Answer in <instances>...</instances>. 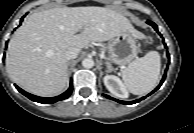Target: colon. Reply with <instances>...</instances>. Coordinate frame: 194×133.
Segmentation results:
<instances>
[{"mask_svg": "<svg viewBox=\"0 0 194 133\" xmlns=\"http://www.w3.org/2000/svg\"><path fill=\"white\" fill-rule=\"evenodd\" d=\"M151 40H150V38H147L146 40H145V43H149Z\"/></svg>", "mask_w": 194, "mask_h": 133, "instance_id": "obj_1", "label": "colon"}]
</instances>
